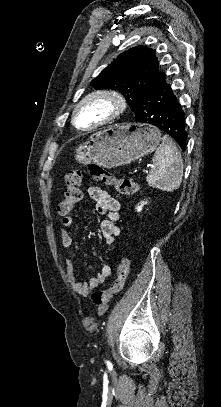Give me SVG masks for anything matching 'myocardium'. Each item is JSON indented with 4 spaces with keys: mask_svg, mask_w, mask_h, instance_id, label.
I'll return each instance as SVG.
<instances>
[{
    "mask_svg": "<svg viewBox=\"0 0 221 407\" xmlns=\"http://www.w3.org/2000/svg\"><path fill=\"white\" fill-rule=\"evenodd\" d=\"M100 100L107 102L110 107V110L107 113V115L91 125L80 126L77 122V114L79 110L92 101ZM125 108H126V99L120 92L113 89L94 90L83 96L76 103L71 114V122L76 129L92 130L115 120L124 112Z\"/></svg>",
    "mask_w": 221,
    "mask_h": 407,
    "instance_id": "1",
    "label": "myocardium"
}]
</instances>
